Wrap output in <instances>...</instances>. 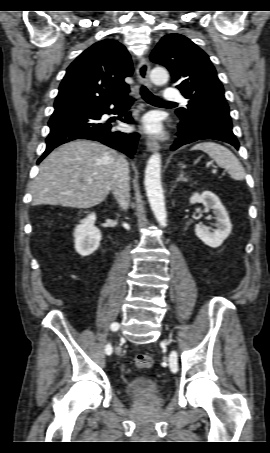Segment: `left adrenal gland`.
<instances>
[{
  "mask_svg": "<svg viewBox=\"0 0 270 453\" xmlns=\"http://www.w3.org/2000/svg\"><path fill=\"white\" fill-rule=\"evenodd\" d=\"M178 181H184V182H187L188 179L186 177H184V172H181L179 177L177 178V182Z\"/></svg>",
  "mask_w": 270,
  "mask_h": 453,
  "instance_id": "1",
  "label": "left adrenal gland"
}]
</instances>
